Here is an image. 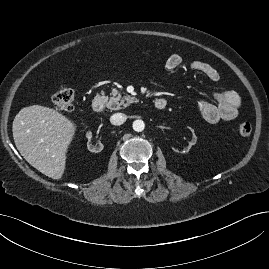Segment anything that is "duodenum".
<instances>
[{
    "label": "duodenum",
    "mask_w": 269,
    "mask_h": 269,
    "mask_svg": "<svg viewBox=\"0 0 269 269\" xmlns=\"http://www.w3.org/2000/svg\"><path fill=\"white\" fill-rule=\"evenodd\" d=\"M105 104H106L105 96L98 95V96L94 97V99L92 101V105H91L92 110L96 113H99V112L103 111ZM166 105H167V100L163 97L156 99L154 102L155 109L158 111L165 109Z\"/></svg>",
    "instance_id": "obj_1"
}]
</instances>
